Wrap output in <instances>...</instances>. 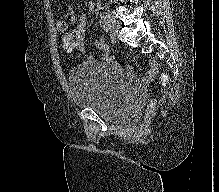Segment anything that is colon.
<instances>
[{"label": "colon", "instance_id": "1", "mask_svg": "<svg viewBox=\"0 0 219 192\" xmlns=\"http://www.w3.org/2000/svg\"><path fill=\"white\" fill-rule=\"evenodd\" d=\"M59 27H66V24L64 22H61L59 24ZM72 45H73V42L68 41V48L70 50H72ZM112 63L113 64H119V61L118 60H113ZM162 80L163 81L167 80V76L165 74L162 76ZM154 109H155V104H154V102H151L147 107L145 118H148L149 116H151L154 112Z\"/></svg>", "mask_w": 219, "mask_h": 192}]
</instances>
